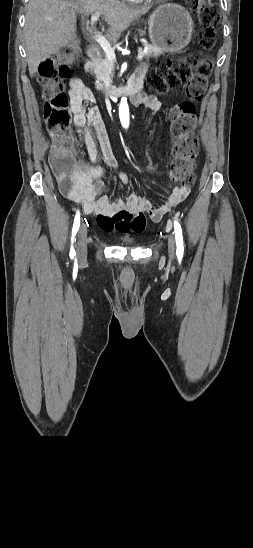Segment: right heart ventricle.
I'll use <instances>...</instances> for the list:
<instances>
[{"instance_id": "e07e8e85", "label": "right heart ventricle", "mask_w": 253, "mask_h": 548, "mask_svg": "<svg viewBox=\"0 0 253 548\" xmlns=\"http://www.w3.org/2000/svg\"><path fill=\"white\" fill-rule=\"evenodd\" d=\"M125 1L132 2V3H137V2H140L141 0H125Z\"/></svg>"}]
</instances>
